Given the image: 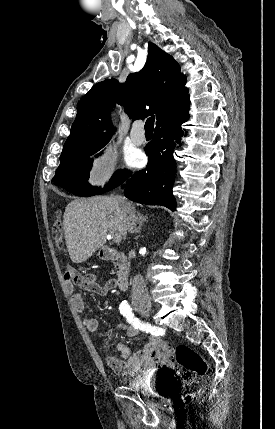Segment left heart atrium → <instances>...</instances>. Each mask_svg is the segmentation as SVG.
Wrapping results in <instances>:
<instances>
[{
  "label": "left heart atrium",
  "instance_id": "obj_1",
  "mask_svg": "<svg viewBox=\"0 0 275 429\" xmlns=\"http://www.w3.org/2000/svg\"><path fill=\"white\" fill-rule=\"evenodd\" d=\"M142 161H143V156L138 152L131 153L128 156V162L133 166L140 165Z\"/></svg>",
  "mask_w": 275,
  "mask_h": 429
}]
</instances>
